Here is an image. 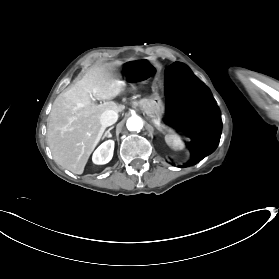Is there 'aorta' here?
Instances as JSON below:
<instances>
[{
    "instance_id": "obj_1",
    "label": "aorta",
    "mask_w": 279,
    "mask_h": 279,
    "mask_svg": "<svg viewBox=\"0 0 279 279\" xmlns=\"http://www.w3.org/2000/svg\"><path fill=\"white\" fill-rule=\"evenodd\" d=\"M129 131L139 132L143 127V121L139 116H131L126 123Z\"/></svg>"
}]
</instances>
